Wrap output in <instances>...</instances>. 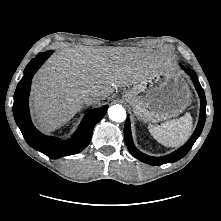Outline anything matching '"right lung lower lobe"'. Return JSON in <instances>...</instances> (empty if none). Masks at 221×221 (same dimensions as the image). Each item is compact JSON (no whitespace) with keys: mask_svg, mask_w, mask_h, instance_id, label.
I'll list each match as a JSON object with an SVG mask.
<instances>
[{"mask_svg":"<svg viewBox=\"0 0 221 221\" xmlns=\"http://www.w3.org/2000/svg\"><path fill=\"white\" fill-rule=\"evenodd\" d=\"M52 53V50L39 53L26 66L24 77L18 83L14 94L13 113L16 124L20 128L27 143L49 158L57 159L79 153L87 147L91 140L94 126L106 114L108 106L106 105L89 111L82 119L74 137L69 141L62 142L40 133L31 122L28 97L33 75Z\"/></svg>","mask_w":221,"mask_h":221,"instance_id":"right-lung-lower-lobe-1","label":"right lung lower lobe"}]
</instances>
